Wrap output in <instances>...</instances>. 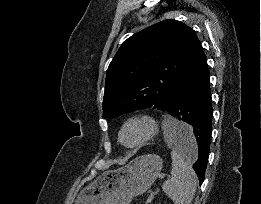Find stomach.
I'll return each mask as SVG.
<instances>
[{"label": "stomach", "instance_id": "1", "mask_svg": "<svg viewBox=\"0 0 261 204\" xmlns=\"http://www.w3.org/2000/svg\"><path fill=\"white\" fill-rule=\"evenodd\" d=\"M162 165L161 157L147 154L117 169L104 171L81 189L75 204H130L133 197L152 186Z\"/></svg>", "mask_w": 261, "mask_h": 204}]
</instances>
